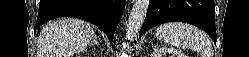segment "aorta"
<instances>
[{"label": "aorta", "mask_w": 249, "mask_h": 57, "mask_svg": "<svg viewBox=\"0 0 249 57\" xmlns=\"http://www.w3.org/2000/svg\"><path fill=\"white\" fill-rule=\"evenodd\" d=\"M149 6V0H135L131 9L127 27H126V39L132 41L139 30L141 29Z\"/></svg>", "instance_id": "1"}]
</instances>
